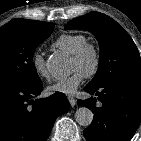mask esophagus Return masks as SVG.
<instances>
[{"mask_svg":"<svg viewBox=\"0 0 141 141\" xmlns=\"http://www.w3.org/2000/svg\"><path fill=\"white\" fill-rule=\"evenodd\" d=\"M68 100H69V103L72 107H74L76 105V100L73 97L69 96Z\"/></svg>","mask_w":141,"mask_h":141,"instance_id":"obj_1","label":"esophagus"}]
</instances>
